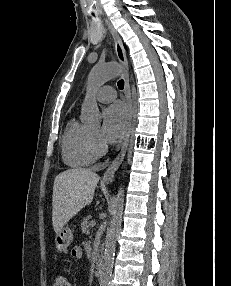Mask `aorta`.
Returning a JSON list of instances; mask_svg holds the SVG:
<instances>
[{
	"instance_id": "obj_1",
	"label": "aorta",
	"mask_w": 231,
	"mask_h": 286,
	"mask_svg": "<svg viewBox=\"0 0 231 286\" xmlns=\"http://www.w3.org/2000/svg\"><path fill=\"white\" fill-rule=\"evenodd\" d=\"M120 73L121 68L115 63L96 65L92 68L88 76V90L81 111V120L84 124L88 126L100 125L101 114L97 102L93 98V91ZM123 207L124 190L120 188L114 201L112 219L106 233L105 251L100 273V286H109L110 284L116 239L122 224Z\"/></svg>"
}]
</instances>
